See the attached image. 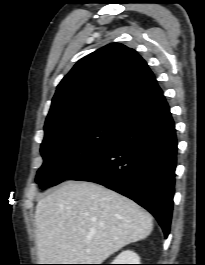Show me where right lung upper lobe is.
<instances>
[{"mask_svg":"<svg viewBox=\"0 0 205 265\" xmlns=\"http://www.w3.org/2000/svg\"><path fill=\"white\" fill-rule=\"evenodd\" d=\"M162 95L145 60L135 50L111 43L79 60L62 79L44 130L63 132L97 122L122 125Z\"/></svg>","mask_w":205,"mask_h":265,"instance_id":"right-lung-upper-lobe-1","label":"right lung upper lobe"}]
</instances>
